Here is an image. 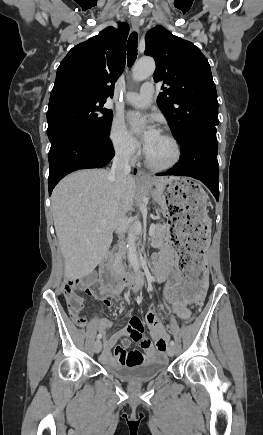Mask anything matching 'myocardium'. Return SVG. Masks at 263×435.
Masks as SVG:
<instances>
[{
    "mask_svg": "<svg viewBox=\"0 0 263 435\" xmlns=\"http://www.w3.org/2000/svg\"><path fill=\"white\" fill-rule=\"evenodd\" d=\"M161 135L164 136L165 138H167L172 143L174 150H175V155H174V158L170 162L160 165V164H155L154 162H152L151 159L149 158L147 152L145 151V163H146L148 168H150L154 171H165V170L171 169L174 166H176L182 158V149H181L180 143L177 140V138L169 132H162Z\"/></svg>",
    "mask_w": 263,
    "mask_h": 435,
    "instance_id": "myocardium-1",
    "label": "myocardium"
}]
</instances>
